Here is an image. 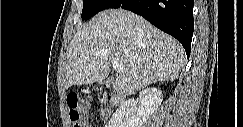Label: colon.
<instances>
[{"label": "colon", "mask_w": 243, "mask_h": 127, "mask_svg": "<svg viewBox=\"0 0 243 127\" xmlns=\"http://www.w3.org/2000/svg\"><path fill=\"white\" fill-rule=\"evenodd\" d=\"M70 122L73 127H85L84 115L85 107L81 104L77 93H70L67 96Z\"/></svg>", "instance_id": "5ec220e1"}]
</instances>
